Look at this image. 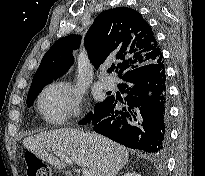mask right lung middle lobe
I'll use <instances>...</instances> for the list:
<instances>
[{
	"label": "right lung middle lobe",
	"mask_w": 205,
	"mask_h": 176,
	"mask_svg": "<svg viewBox=\"0 0 205 176\" xmlns=\"http://www.w3.org/2000/svg\"><path fill=\"white\" fill-rule=\"evenodd\" d=\"M43 87H44V86L39 87V88H36V89H34V90H32V91H30V92L28 93L27 101H26L28 107H30V106L32 105L33 101H34L35 98L38 96V94L40 93V91L42 90ZM101 104H102V103H99V104H97V105L95 106L94 112H95V110H96ZM91 117H92V114L90 113V114L86 117V119H83V120L80 122V124H86V123H88L89 120L91 119Z\"/></svg>",
	"instance_id": "right-lung-middle-lobe-1"
}]
</instances>
